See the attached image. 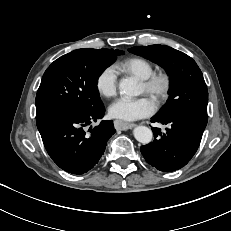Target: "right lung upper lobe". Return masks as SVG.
Returning <instances> with one entry per match:
<instances>
[{
	"mask_svg": "<svg viewBox=\"0 0 231 231\" xmlns=\"http://www.w3.org/2000/svg\"><path fill=\"white\" fill-rule=\"evenodd\" d=\"M102 50H104V51H106V52H108V53H112V54H117L118 52H120V53H123V54H124V52H123V51H119V50H113V49H111V50H108V49H102Z\"/></svg>",
	"mask_w": 231,
	"mask_h": 231,
	"instance_id": "1",
	"label": "right lung upper lobe"
}]
</instances>
